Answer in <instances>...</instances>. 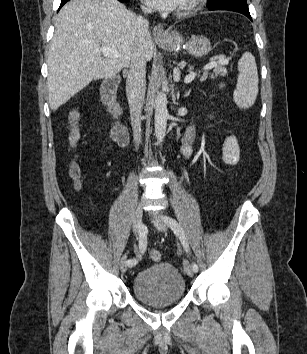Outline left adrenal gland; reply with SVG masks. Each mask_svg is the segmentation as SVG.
I'll return each mask as SVG.
<instances>
[{
  "instance_id": "obj_1",
  "label": "left adrenal gland",
  "mask_w": 307,
  "mask_h": 354,
  "mask_svg": "<svg viewBox=\"0 0 307 354\" xmlns=\"http://www.w3.org/2000/svg\"><path fill=\"white\" fill-rule=\"evenodd\" d=\"M191 90L189 89L185 94L184 96L187 97L189 94H190Z\"/></svg>"
}]
</instances>
